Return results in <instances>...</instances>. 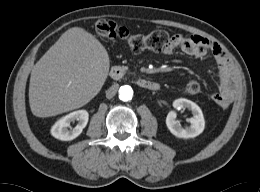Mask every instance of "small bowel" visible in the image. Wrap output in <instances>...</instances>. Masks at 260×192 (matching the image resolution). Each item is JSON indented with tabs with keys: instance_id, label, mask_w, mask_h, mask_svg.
I'll return each mask as SVG.
<instances>
[{
	"instance_id": "small-bowel-1",
	"label": "small bowel",
	"mask_w": 260,
	"mask_h": 192,
	"mask_svg": "<svg viewBox=\"0 0 260 192\" xmlns=\"http://www.w3.org/2000/svg\"><path fill=\"white\" fill-rule=\"evenodd\" d=\"M176 49H180L183 53L195 58H202L209 52L213 54L218 67L220 87L219 92L213 94L211 98L222 108H227L236 97L237 87L231 64L220 46L200 35L177 34L163 52L169 55Z\"/></svg>"
}]
</instances>
